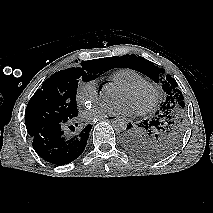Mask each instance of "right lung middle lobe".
I'll use <instances>...</instances> for the list:
<instances>
[{"mask_svg": "<svg viewBox=\"0 0 213 213\" xmlns=\"http://www.w3.org/2000/svg\"><path fill=\"white\" fill-rule=\"evenodd\" d=\"M108 70L109 66L90 60L53 74L28 102L25 118L28 134L31 136L46 125L78 115L76 90L79 80L91 81Z\"/></svg>", "mask_w": 213, "mask_h": 213, "instance_id": "right-lung-middle-lobe-1", "label": "right lung middle lobe"}]
</instances>
